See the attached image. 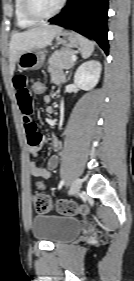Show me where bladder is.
<instances>
[{"label":"bladder","instance_id":"bladder-1","mask_svg":"<svg viewBox=\"0 0 134 281\" xmlns=\"http://www.w3.org/2000/svg\"><path fill=\"white\" fill-rule=\"evenodd\" d=\"M82 226V222L74 217L38 214L32 221V234L36 239L60 244L73 240Z\"/></svg>","mask_w":134,"mask_h":281}]
</instances>
